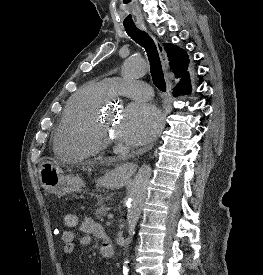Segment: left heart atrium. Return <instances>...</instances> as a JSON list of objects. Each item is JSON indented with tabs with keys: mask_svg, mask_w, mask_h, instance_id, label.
Masks as SVG:
<instances>
[{
	"mask_svg": "<svg viewBox=\"0 0 263 275\" xmlns=\"http://www.w3.org/2000/svg\"><path fill=\"white\" fill-rule=\"evenodd\" d=\"M161 126L159 109L150 103L136 101L125 109L117 135L126 143L140 145L152 140Z\"/></svg>",
	"mask_w": 263,
	"mask_h": 275,
	"instance_id": "39dd6f15",
	"label": "left heart atrium"
}]
</instances>
